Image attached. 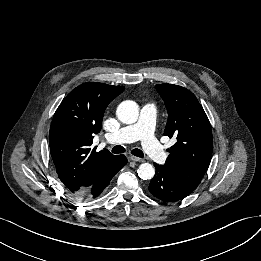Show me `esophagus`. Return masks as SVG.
Returning <instances> with one entry per match:
<instances>
[{"label":"esophagus","mask_w":261,"mask_h":261,"mask_svg":"<svg viewBox=\"0 0 261 261\" xmlns=\"http://www.w3.org/2000/svg\"><path fill=\"white\" fill-rule=\"evenodd\" d=\"M130 160L135 162H144V159L136 157V156H130Z\"/></svg>","instance_id":"34e87169"}]
</instances>
